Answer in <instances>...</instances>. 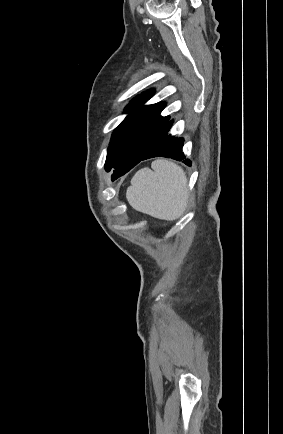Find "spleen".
Here are the masks:
<instances>
[{
    "instance_id": "3e777b00",
    "label": "spleen",
    "mask_w": 283,
    "mask_h": 434,
    "mask_svg": "<svg viewBox=\"0 0 283 434\" xmlns=\"http://www.w3.org/2000/svg\"><path fill=\"white\" fill-rule=\"evenodd\" d=\"M151 169L137 171L126 198L137 211L163 220L179 218L187 205V177L181 167L166 159L152 162Z\"/></svg>"
}]
</instances>
